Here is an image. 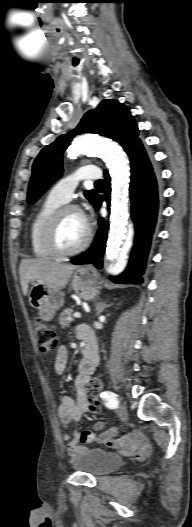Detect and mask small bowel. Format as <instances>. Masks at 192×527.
<instances>
[{
    "mask_svg": "<svg viewBox=\"0 0 192 527\" xmlns=\"http://www.w3.org/2000/svg\"><path fill=\"white\" fill-rule=\"evenodd\" d=\"M79 337L84 341L85 347L88 346L92 349L95 356V363L91 367L85 366L84 358L82 359L79 366V374L75 379V385L77 389V398L73 399L69 395H63L61 402L58 406V417L64 428H67L71 423H78L82 415L86 412H97L92 409L91 403L88 400L87 392L92 386L95 380L91 379L95 366L98 361L97 344L91 333V331L84 327L79 331ZM67 350L61 346L57 351L56 360L54 363L55 370L61 374L64 372L67 364ZM105 429L104 422H97L94 425L96 431H78L75 430L73 436L65 431L63 433V439L67 441V452L71 459L75 458L86 450V447L80 445L81 441L84 444H92L94 442H102L109 446H115L120 448L123 452L127 453L126 457L128 460L133 461L137 458L138 463L143 464L146 458L151 453V446L147 440L141 435L136 433L122 434L125 429L118 426H111L108 431ZM99 431H103L102 433ZM134 432H138V429H134ZM122 434V437L116 439L118 435Z\"/></svg>",
    "mask_w": 192,
    "mask_h": 527,
    "instance_id": "1",
    "label": "small bowel"
}]
</instances>
